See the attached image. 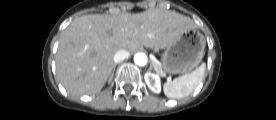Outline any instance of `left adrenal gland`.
Masks as SVG:
<instances>
[{
  "mask_svg": "<svg viewBox=\"0 0 276 120\" xmlns=\"http://www.w3.org/2000/svg\"><path fill=\"white\" fill-rule=\"evenodd\" d=\"M152 65H153V63L151 64V66H150V68H149V71H151V70H152Z\"/></svg>",
  "mask_w": 276,
  "mask_h": 120,
  "instance_id": "left-adrenal-gland-1",
  "label": "left adrenal gland"
}]
</instances>
